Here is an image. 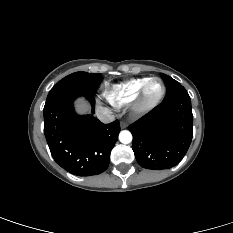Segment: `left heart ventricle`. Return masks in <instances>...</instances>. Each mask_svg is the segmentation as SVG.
<instances>
[{"mask_svg":"<svg viewBox=\"0 0 233 233\" xmlns=\"http://www.w3.org/2000/svg\"><path fill=\"white\" fill-rule=\"evenodd\" d=\"M161 92V84L158 81H154L147 89L146 97L148 100L155 99Z\"/></svg>","mask_w":233,"mask_h":233,"instance_id":"obj_1","label":"left heart ventricle"}]
</instances>
